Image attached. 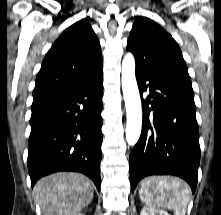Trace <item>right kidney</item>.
I'll use <instances>...</instances> for the list:
<instances>
[{
  "label": "right kidney",
  "mask_w": 221,
  "mask_h": 215,
  "mask_svg": "<svg viewBox=\"0 0 221 215\" xmlns=\"http://www.w3.org/2000/svg\"><path fill=\"white\" fill-rule=\"evenodd\" d=\"M77 215H84V214H82V213H78Z\"/></svg>",
  "instance_id": "ca27d5eb"
}]
</instances>
